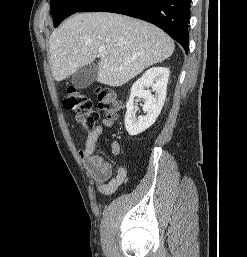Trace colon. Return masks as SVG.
I'll list each match as a JSON object with an SVG mask.
<instances>
[{"instance_id": "obj_1", "label": "colon", "mask_w": 247, "mask_h": 257, "mask_svg": "<svg viewBox=\"0 0 247 257\" xmlns=\"http://www.w3.org/2000/svg\"><path fill=\"white\" fill-rule=\"evenodd\" d=\"M96 96L99 110L108 119H114L121 109L117 94L110 88L99 87ZM63 105L75 112L76 121L84 131L92 130L99 119V112L94 109L92 101L74 86L67 88Z\"/></svg>"}]
</instances>
